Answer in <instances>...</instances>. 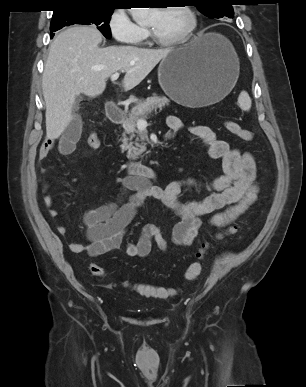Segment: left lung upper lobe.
<instances>
[{
  "label": "left lung upper lobe",
  "instance_id": "left-lung-upper-lobe-1",
  "mask_svg": "<svg viewBox=\"0 0 306 387\" xmlns=\"http://www.w3.org/2000/svg\"><path fill=\"white\" fill-rule=\"evenodd\" d=\"M231 0H192V3L209 18H233Z\"/></svg>",
  "mask_w": 306,
  "mask_h": 387
}]
</instances>
